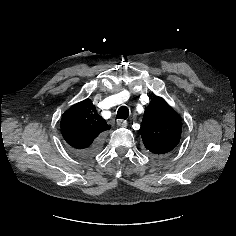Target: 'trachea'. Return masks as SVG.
<instances>
[{
    "label": "trachea",
    "mask_w": 236,
    "mask_h": 236,
    "mask_svg": "<svg viewBox=\"0 0 236 236\" xmlns=\"http://www.w3.org/2000/svg\"><path fill=\"white\" fill-rule=\"evenodd\" d=\"M129 116V109L126 106H121L117 111V119L126 120Z\"/></svg>",
    "instance_id": "obj_1"
}]
</instances>
